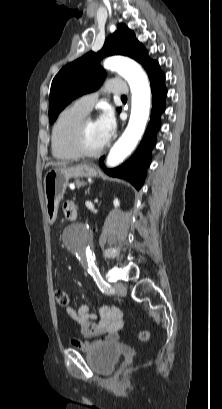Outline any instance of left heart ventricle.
Masks as SVG:
<instances>
[{"instance_id": "left-heart-ventricle-1", "label": "left heart ventricle", "mask_w": 222, "mask_h": 409, "mask_svg": "<svg viewBox=\"0 0 222 409\" xmlns=\"http://www.w3.org/2000/svg\"><path fill=\"white\" fill-rule=\"evenodd\" d=\"M84 145L90 151L98 150L103 146L96 123L93 120L88 121L86 124Z\"/></svg>"}]
</instances>
